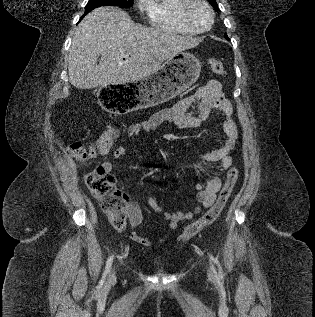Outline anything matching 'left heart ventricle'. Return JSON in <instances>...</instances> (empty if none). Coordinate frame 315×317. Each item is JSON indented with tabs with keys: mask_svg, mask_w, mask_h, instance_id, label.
I'll return each mask as SVG.
<instances>
[{
	"mask_svg": "<svg viewBox=\"0 0 315 317\" xmlns=\"http://www.w3.org/2000/svg\"><path fill=\"white\" fill-rule=\"evenodd\" d=\"M191 20L198 28H206L210 22V15L206 7L202 4H195L191 9Z\"/></svg>",
	"mask_w": 315,
	"mask_h": 317,
	"instance_id": "obj_1",
	"label": "left heart ventricle"
}]
</instances>
